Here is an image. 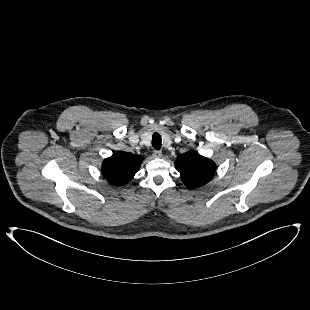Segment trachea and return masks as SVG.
Masks as SVG:
<instances>
[{
    "mask_svg": "<svg viewBox=\"0 0 310 310\" xmlns=\"http://www.w3.org/2000/svg\"><path fill=\"white\" fill-rule=\"evenodd\" d=\"M162 144L161 136L158 133L153 134L152 136V146L155 149H160Z\"/></svg>",
    "mask_w": 310,
    "mask_h": 310,
    "instance_id": "1",
    "label": "trachea"
}]
</instances>
